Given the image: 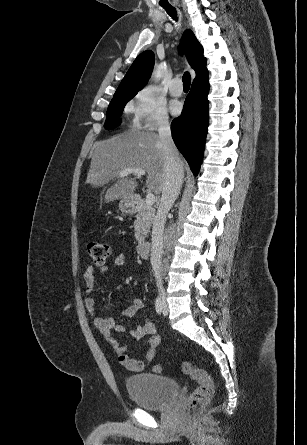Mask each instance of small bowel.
Masks as SVG:
<instances>
[{
  "label": "small bowel",
  "mask_w": 307,
  "mask_h": 445,
  "mask_svg": "<svg viewBox=\"0 0 307 445\" xmlns=\"http://www.w3.org/2000/svg\"><path fill=\"white\" fill-rule=\"evenodd\" d=\"M127 263V257L124 254H119L113 260V266L120 267ZM111 270L110 266H104L100 268L99 272L101 274L108 273ZM85 290L87 296L85 298V306L87 311L93 316V323L99 333L106 338L112 348L117 352L119 362L124 365L127 369L140 372L144 370L147 363L151 362L155 355L158 346L161 343V336L157 334L156 327L154 323L146 319L143 323L137 325L133 328H128L126 325L117 323L113 317H103L98 314L96 309L95 300L92 297V293L96 286V273L95 267L89 265L83 276ZM144 308V303L139 298L132 299L129 306L122 312L121 316L125 318L134 317L138 312ZM116 331L119 333L128 332L130 336L135 340H140L146 337L145 347H146V358L147 362L133 359L128 355V347L120 345L117 340L112 336V332Z\"/></svg>",
  "instance_id": "c3829d8e"
}]
</instances>
